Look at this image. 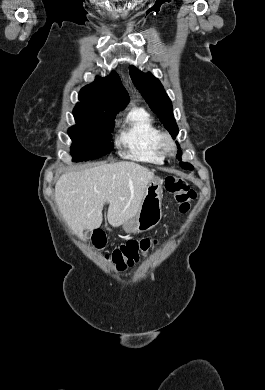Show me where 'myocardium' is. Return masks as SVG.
Wrapping results in <instances>:
<instances>
[{
  "label": "myocardium",
  "mask_w": 265,
  "mask_h": 390,
  "mask_svg": "<svg viewBox=\"0 0 265 390\" xmlns=\"http://www.w3.org/2000/svg\"><path fill=\"white\" fill-rule=\"evenodd\" d=\"M158 145L161 153L165 156H173L176 151L175 142L166 133H161L158 137Z\"/></svg>",
  "instance_id": "f54148a6"
}]
</instances>
